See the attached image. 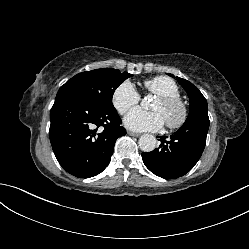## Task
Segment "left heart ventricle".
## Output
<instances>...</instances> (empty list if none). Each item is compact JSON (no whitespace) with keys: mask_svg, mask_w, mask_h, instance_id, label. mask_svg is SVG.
I'll return each instance as SVG.
<instances>
[{"mask_svg":"<svg viewBox=\"0 0 249 249\" xmlns=\"http://www.w3.org/2000/svg\"><path fill=\"white\" fill-rule=\"evenodd\" d=\"M154 111H158L163 116L164 120L176 119L178 117V110L175 108H166L159 100H156L152 106Z\"/></svg>","mask_w":249,"mask_h":249,"instance_id":"b2bd125f","label":"left heart ventricle"}]
</instances>
